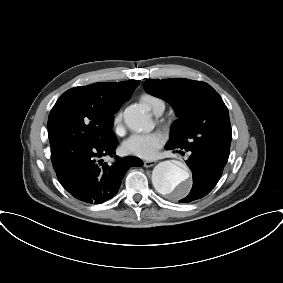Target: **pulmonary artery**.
I'll return each mask as SVG.
<instances>
[{"label":"pulmonary artery","mask_w":283,"mask_h":283,"mask_svg":"<svg viewBox=\"0 0 283 283\" xmlns=\"http://www.w3.org/2000/svg\"><path fill=\"white\" fill-rule=\"evenodd\" d=\"M160 113H162V111H159V112H157L156 114H160Z\"/></svg>","instance_id":"e3ab8cb5"}]
</instances>
